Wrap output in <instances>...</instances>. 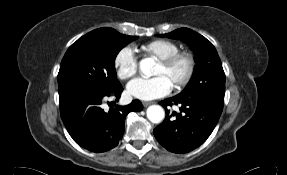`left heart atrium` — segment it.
I'll return each instance as SVG.
<instances>
[{
  "label": "left heart atrium",
  "instance_id": "left-heart-atrium-1",
  "mask_svg": "<svg viewBox=\"0 0 287 175\" xmlns=\"http://www.w3.org/2000/svg\"><path fill=\"white\" fill-rule=\"evenodd\" d=\"M172 84L164 75L152 78H136L128 86V93L140 100H153L170 93Z\"/></svg>",
  "mask_w": 287,
  "mask_h": 175
}]
</instances>
